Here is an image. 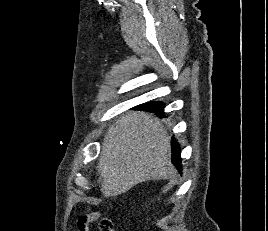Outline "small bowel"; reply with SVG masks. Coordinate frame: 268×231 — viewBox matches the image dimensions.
I'll list each match as a JSON object with an SVG mask.
<instances>
[{
  "instance_id": "small-bowel-1",
  "label": "small bowel",
  "mask_w": 268,
  "mask_h": 231,
  "mask_svg": "<svg viewBox=\"0 0 268 231\" xmlns=\"http://www.w3.org/2000/svg\"><path fill=\"white\" fill-rule=\"evenodd\" d=\"M99 212H91L89 214L81 215L77 220V227L79 231H91L90 224L96 220ZM89 216H93L91 220H88Z\"/></svg>"
}]
</instances>
